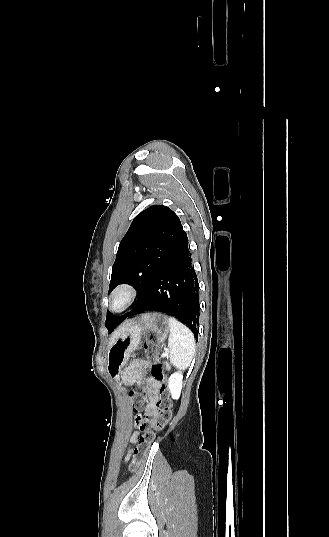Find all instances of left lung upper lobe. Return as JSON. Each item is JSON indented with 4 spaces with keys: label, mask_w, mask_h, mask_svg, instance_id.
<instances>
[{
    "label": "left lung upper lobe",
    "mask_w": 329,
    "mask_h": 537,
    "mask_svg": "<svg viewBox=\"0 0 329 537\" xmlns=\"http://www.w3.org/2000/svg\"><path fill=\"white\" fill-rule=\"evenodd\" d=\"M188 240L178 216L163 205H153L138 214L120 242L112 266L111 292L119 284L138 290L139 303L151 280L165 261ZM135 305V306H136ZM107 312L105 326L111 332L125 317Z\"/></svg>",
    "instance_id": "obj_1"
}]
</instances>
